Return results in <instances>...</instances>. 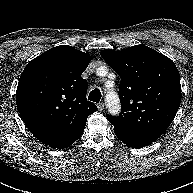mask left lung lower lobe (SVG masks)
<instances>
[{"label":"left lung lower lobe","mask_w":193,"mask_h":193,"mask_svg":"<svg viewBox=\"0 0 193 193\" xmlns=\"http://www.w3.org/2000/svg\"><path fill=\"white\" fill-rule=\"evenodd\" d=\"M114 132L122 142H124L127 146L133 148H142L148 146L162 135L157 132L152 133L125 132L115 128Z\"/></svg>","instance_id":"1"}]
</instances>
